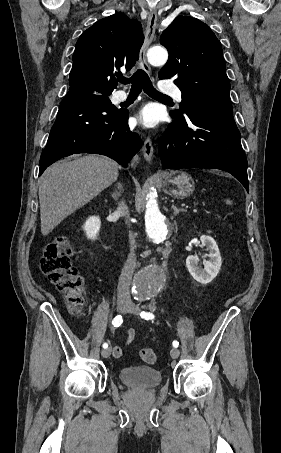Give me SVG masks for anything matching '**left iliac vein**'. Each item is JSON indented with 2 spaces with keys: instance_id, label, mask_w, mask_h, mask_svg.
I'll list each match as a JSON object with an SVG mask.
<instances>
[{
  "instance_id": "1",
  "label": "left iliac vein",
  "mask_w": 281,
  "mask_h": 453,
  "mask_svg": "<svg viewBox=\"0 0 281 453\" xmlns=\"http://www.w3.org/2000/svg\"><path fill=\"white\" fill-rule=\"evenodd\" d=\"M123 311L124 313L139 314V310L137 309L136 304H133V302H130V305H128L127 308H123ZM170 354L174 359H177L179 357V351L175 347L171 349Z\"/></svg>"
}]
</instances>
